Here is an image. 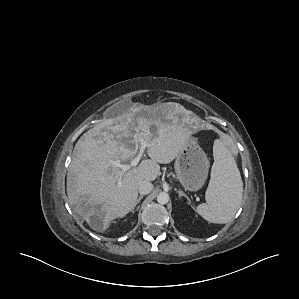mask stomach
Listing matches in <instances>:
<instances>
[{
    "label": "stomach",
    "mask_w": 299,
    "mask_h": 299,
    "mask_svg": "<svg viewBox=\"0 0 299 299\" xmlns=\"http://www.w3.org/2000/svg\"><path fill=\"white\" fill-rule=\"evenodd\" d=\"M174 168L178 180L186 190L197 191L202 188L208 176L209 160L195 138L187 139L176 157Z\"/></svg>",
    "instance_id": "obj_1"
}]
</instances>
